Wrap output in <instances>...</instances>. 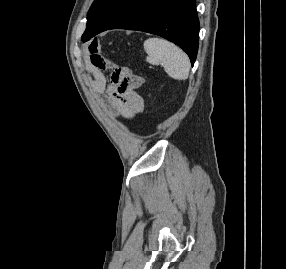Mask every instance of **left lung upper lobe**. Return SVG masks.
Listing matches in <instances>:
<instances>
[{
    "label": "left lung upper lobe",
    "mask_w": 286,
    "mask_h": 269,
    "mask_svg": "<svg viewBox=\"0 0 286 269\" xmlns=\"http://www.w3.org/2000/svg\"><path fill=\"white\" fill-rule=\"evenodd\" d=\"M143 0H94L87 14V27L82 35L88 41L105 27L113 25Z\"/></svg>",
    "instance_id": "1"
}]
</instances>
